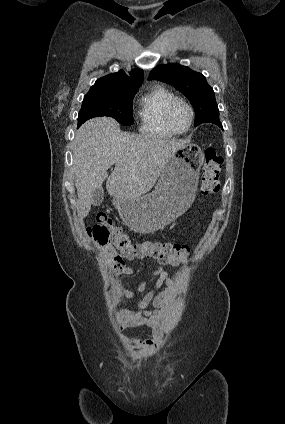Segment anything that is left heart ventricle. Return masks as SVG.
<instances>
[{"label":"left heart ventricle","instance_id":"b2bd125f","mask_svg":"<svg viewBox=\"0 0 285 424\" xmlns=\"http://www.w3.org/2000/svg\"><path fill=\"white\" fill-rule=\"evenodd\" d=\"M171 122L177 130H186L190 123V113L187 107L177 104L171 112Z\"/></svg>","mask_w":285,"mask_h":424}]
</instances>
